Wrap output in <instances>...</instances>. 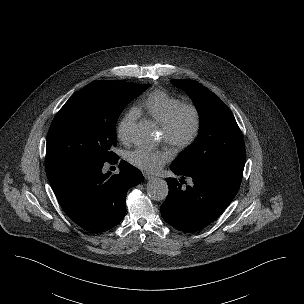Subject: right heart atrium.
Segmentation results:
<instances>
[{"label":"right heart atrium","mask_w":304,"mask_h":304,"mask_svg":"<svg viewBox=\"0 0 304 304\" xmlns=\"http://www.w3.org/2000/svg\"><path fill=\"white\" fill-rule=\"evenodd\" d=\"M138 113L136 110H129L120 119L117 125V137L123 143H128L131 138L132 129L137 121Z\"/></svg>","instance_id":"d8ad5b80"}]
</instances>
